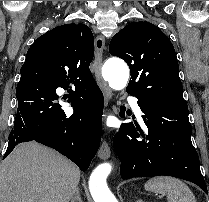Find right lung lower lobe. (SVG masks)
<instances>
[{"mask_svg":"<svg viewBox=\"0 0 209 202\" xmlns=\"http://www.w3.org/2000/svg\"><path fill=\"white\" fill-rule=\"evenodd\" d=\"M67 89L50 76H24L17 85L18 100L14 129L3 158L15 145L35 140L49 146L72 160L86 171L100 146L103 94L96 82L70 90L67 102L74 113L66 116L57 103L56 88Z\"/></svg>","mask_w":209,"mask_h":202,"instance_id":"1","label":"right lung lower lobe"}]
</instances>
